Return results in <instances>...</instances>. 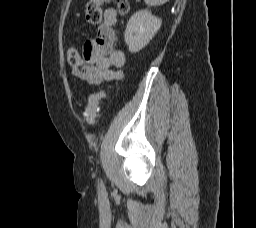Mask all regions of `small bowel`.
Wrapping results in <instances>:
<instances>
[{
	"mask_svg": "<svg viewBox=\"0 0 256 228\" xmlns=\"http://www.w3.org/2000/svg\"><path fill=\"white\" fill-rule=\"evenodd\" d=\"M116 24V11L112 8L106 9L97 37L84 44L83 58L86 64L83 67H74V74L91 85H100L123 77L121 68L126 57L123 51L115 48Z\"/></svg>",
	"mask_w": 256,
	"mask_h": 228,
	"instance_id": "1",
	"label": "small bowel"
}]
</instances>
